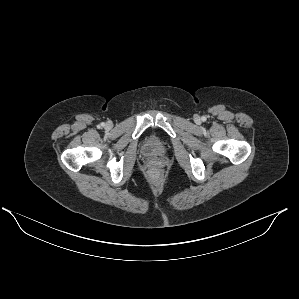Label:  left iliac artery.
<instances>
[{"label":"left iliac artery","mask_w":299,"mask_h":299,"mask_svg":"<svg viewBox=\"0 0 299 299\" xmlns=\"http://www.w3.org/2000/svg\"><path fill=\"white\" fill-rule=\"evenodd\" d=\"M202 120H203V121H205V120H206V118H205V117H203V118H202Z\"/></svg>","instance_id":"left-iliac-artery-1"}]
</instances>
